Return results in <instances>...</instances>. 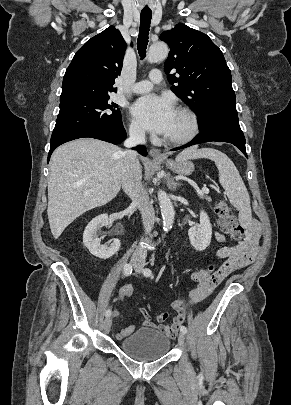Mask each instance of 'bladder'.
Masks as SVG:
<instances>
[{
    "instance_id": "31cf9c89",
    "label": "bladder",
    "mask_w": 291,
    "mask_h": 405,
    "mask_svg": "<svg viewBox=\"0 0 291 405\" xmlns=\"http://www.w3.org/2000/svg\"><path fill=\"white\" fill-rule=\"evenodd\" d=\"M118 346L130 358L150 362L167 354L170 339L159 330L143 327L121 340Z\"/></svg>"
}]
</instances>
